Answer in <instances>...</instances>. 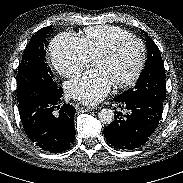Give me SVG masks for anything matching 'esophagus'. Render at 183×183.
I'll use <instances>...</instances> for the list:
<instances>
[{
  "mask_svg": "<svg viewBox=\"0 0 183 183\" xmlns=\"http://www.w3.org/2000/svg\"><path fill=\"white\" fill-rule=\"evenodd\" d=\"M95 108L92 107V106H85L84 104L82 103H76L75 105V110L80 113V112H85V111H92L94 110Z\"/></svg>",
  "mask_w": 183,
  "mask_h": 183,
  "instance_id": "1",
  "label": "esophagus"
}]
</instances>
